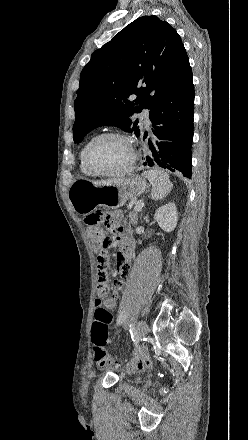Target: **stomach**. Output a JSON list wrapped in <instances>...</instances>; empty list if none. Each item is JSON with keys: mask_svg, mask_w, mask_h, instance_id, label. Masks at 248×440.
I'll use <instances>...</instances> for the list:
<instances>
[{"mask_svg": "<svg viewBox=\"0 0 248 440\" xmlns=\"http://www.w3.org/2000/svg\"><path fill=\"white\" fill-rule=\"evenodd\" d=\"M147 187L145 179L138 175L110 185L80 179L70 185L68 199L75 211L86 214L99 206L121 207L128 199L140 196Z\"/></svg>", "mask_w": 248, "mask_h": 440, "instance_id": "0dacf381", "label": "stomach"}]
</instances>
